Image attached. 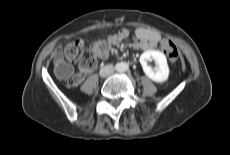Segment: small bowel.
<instances>
[{"instance_id": "1", "label": "small bowel", "mask_w": 230, "mask_h": 155, "mask_svg": "<svg viewBox=\"0 0 230 155\" xmlns=\"http://www.w3.org/2000/svg\"><path fill=\"white\" fill-rule=\"evenodd\" d=\"M130 36L133 37L135 46L144 49V50H152L157 47V42L161 39V35L159 32L148 29V28H137L133 33L128 29H122L118 33L108 36L107 43L109 45H117L122 41L126 40ZM163 50V49H162ZM164 51V50H163ZM108 56V51L99 57L104 59ZM82 72H90L91 70H83Z\"/></svg>"}]
</instances>
